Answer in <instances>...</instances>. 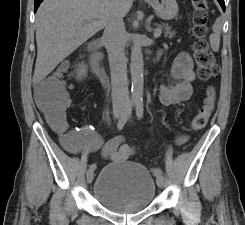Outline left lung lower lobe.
<instances>
[{
	"label": "left lung lower lobe",
	"instance_id": "obj_1",
	"mask_svg": "<svg viewBox=\"0 0 245 225\" xmlns=\"http://www.w3.org/2000/svg\"><path fill=\"white\" fill-rule=\"evenodd\" d=\"M219 2V4L221 5L223 11H225V3L224 0H217Z\"/></svg>",
	"mask_w": 245,
	"mask_h": 225
}]
</instances>
